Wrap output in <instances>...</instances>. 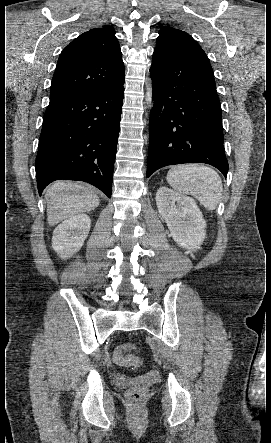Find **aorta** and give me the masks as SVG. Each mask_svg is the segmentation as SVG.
<instances>
[{"instance_id":"762f6f07","label":"aorta","mask_w":271,"mask_h":443,"mask_svg":"<svg viewBox=\"0 0 271 443\" xmlns=\"http://www.w3.org/2000/svg\"><path fill=\"white\" fill-rule=\"evenodd\" d=\"M145 102L148 106V108H153V102H152V84L149 82L146 86V94H145Z\"/></svg>"}]
</instances>
